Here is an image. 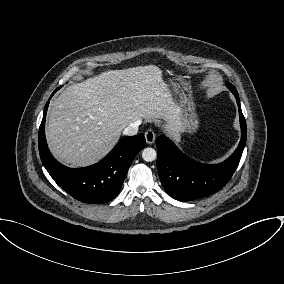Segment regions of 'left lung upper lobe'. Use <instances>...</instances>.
<instances>
[{"instance_id":"left-lung-upper-lobe-1","label":"left lung upper lobe","mask_w":284,"mask_h":284,"mask_svg":"<svg viewBox=\"0 0 284 284\" xmlns=\"http://www.w3.org/2000/svg\"><path fill=\"white\" fill-rule=\"evenodd\" d=\"M226 85L234 95H238L236 88L231 83L226 82Z\"/></svg>"}]
</instances>
